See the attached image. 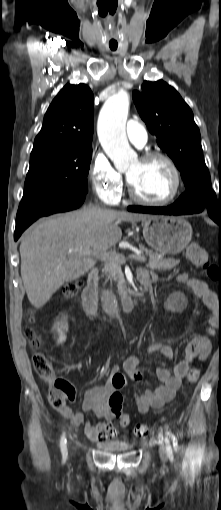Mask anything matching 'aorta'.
<instances>
[{"label":"aorta","instance_id":"obj_1","mask_svg":"<svg viewBox=\"0 0 221 510\" xmlns=\"http://www.w3.org/2000/svg\"><path fill=\"white\" fill-rule=\"evenodd\" d=\"M129 106L128 93L123 90L119 91L104 103L97 123V133L101 146L119 171L125 170L129 165V161L135 156L129 146L125 132ZM105 303L107 309L117 316L119 305L114 294L107 292Z\"/></svg>","mask_w":221,"mask_h":510}]
</instances>
